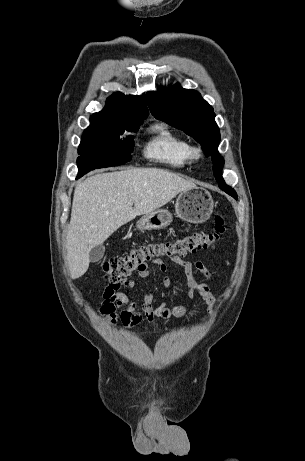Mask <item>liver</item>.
Masks as SVG:
<instances>
[{
    "instance_id": "liver-1",
    "label": "liver",
    "mask_w": 305,
    "mask_h": 461,
    "mask_svg": "<svg viewBox=\"0 0 305 461\" xmlns=\"http://www.w3.org/2000/svg\"><path fill=\"white\" fill-rule=\"evenodd\" d=\"M195 187L193 182L157 168L97 174L79 183L66 237L70 277L86 273L91 249L102 245L118 228Z\"/></svg>"
}]
</instances>
